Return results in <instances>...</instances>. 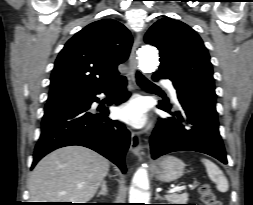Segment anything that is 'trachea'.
Returning a JSON list of instances; mask_svg holds the SVG:
<instances>
[{
	"label": "trachea",
	"instance_id": "obj_1",
	"mask_svg": "<svg viewBox=\"0 0 253 205\" xmlns=\"http://www.w3.org/2000/svg\"><path fill=\"white\" fill-rule=\"evenodd\" d=\"M136 81L139 86L148 89L158 90V87L146 79L140 72H136Z\"/></svg>",
	"mask_w": 253,
	"mask_h": 205
}]
</instances>
